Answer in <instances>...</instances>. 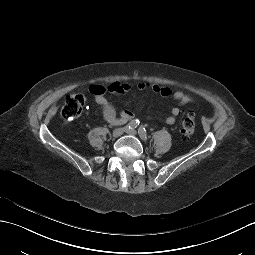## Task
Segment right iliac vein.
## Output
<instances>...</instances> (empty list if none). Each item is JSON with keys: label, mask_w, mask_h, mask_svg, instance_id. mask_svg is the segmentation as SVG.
<instances>
[{"label": "right iliac vein", "mask_w": 255, "mask_h": 255, "mask_svg": "<svg viewBox=\"0 0 255 255\" xmlns=\"http://www.w3.org/2000/svg\"><path fill=\"white\" fill-rule=\"evenodd\" d=\"M124 130H125L124 128H116V129L113 131L112 136H113L114 138H118V137H120V136L123 134Z\"/></svg>", "instance_id": "right-iliac-vein-1"}]
</instances>
